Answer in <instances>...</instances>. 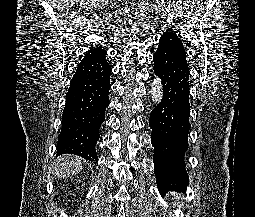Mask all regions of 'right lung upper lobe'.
Segmentation results:
<instances>
[{"label":"right lung upper lobe","instance_id":"obj_1","mask_svg":"<svg viewBox=\"0 0 255 217\" xmlns=\"http://www.w3.org/2000/svg\"><path fill=\"white\" fill-rule=\"evenodd\" d=\"M106 55L107 53L101 48H93L86 52V55L80 63L105 59Z\"/></svg>","mask_w":255,"mask_h":217}]
</instances>
